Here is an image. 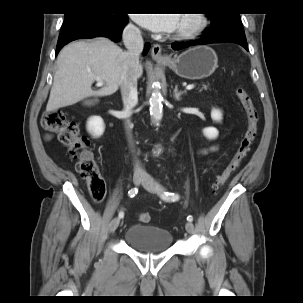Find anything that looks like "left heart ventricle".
<instances>
[{
    "mask_svg": "<svg viewBox=\"0 0 303 303\" xmlns=\"http://www.w3.org/2000/svg\"><path fill=\"white\" fill-rule=\"evenodd\" d=\"M193 23V19L191 16H180L179 18V23H178V26L177 28H180V27H183V26H187V25H190Z\"/></svg>",
    "mask_w": 303,
    "mask_h": 303,
    "instance_id": "left-heart-ventricle-1",
    "label": "left heart ventricle"
}]
</instances>
